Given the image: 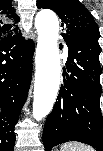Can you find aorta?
Here are the masks:
<instances>
[{
	"instance_id": "aorta-1",
	"label": "aorta",
	"mask_w": 103,
	"mask_h": 151,
	"mask_svg": "<svg viewBox=\"0 0 103 151\" xmlns=\"http://www.w3.org/2000/svg\"><path fill=\"white\" fill-rule=\"evenodd\" d=\"M38 32L33 117L40 121L52 110L60 84L61 63L58 49L59 21L51 10H41L35 18Z\"/></svg>"
}]
</instances>
